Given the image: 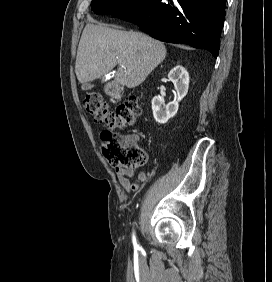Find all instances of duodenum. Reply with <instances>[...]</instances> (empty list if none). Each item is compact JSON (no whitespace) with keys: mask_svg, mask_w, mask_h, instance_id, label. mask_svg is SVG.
<instances>
[{"mask_svg":"<svg viewBox=\"0 0 272 282\" xmlns=\"http://www.w3.org/2000/svg\"><path fill=\"white\" fill-rule=\"evenodd\" d=\"M108 92L114 99H118L122 94V87L117 83H111L108 86Z\"/></svg>","mask_w":272,"mask_h":282,"instance_id":"410a0bca","label":"duodenum"}]
</instances>
